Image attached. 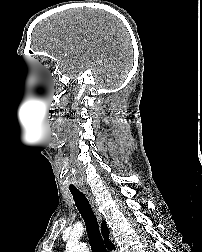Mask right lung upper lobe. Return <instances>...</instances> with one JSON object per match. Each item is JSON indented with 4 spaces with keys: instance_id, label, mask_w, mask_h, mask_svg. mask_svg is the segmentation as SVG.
<instances>
[{
    "instance_id": "cb5924a9",
    "label": "right lung upper lobe",
    "mask_w": 202,
    "mask_h": 252,
    "mask_svg": "<svg viewBox=\"0 0 202 252\" xmlns=\"http://www.w3.org/2000/svg\"><path fill=\"white\" fill-rule=\"evenodd\" d=\"M101 232L105 240V245L108 249L112 250L115 249V246L109 241V229L105 223V221L101 224Z\"/></svg>"
}]
</instances>
